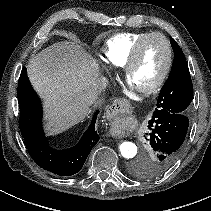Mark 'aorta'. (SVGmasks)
<instances>
[{
	"label": "aorta",
	"instance_id": "1",
	"mask_svg": "<svg viewBox=\"0 0 211 211\" xmlns=\"http://www.w3.org/2000/svg\"><path fill=\"white\" fill-rule=\"evenodd\" d=\"M121 155L126 159L134 158L137 154V146L132 142H122L119 145Z\"/></svg>",
	"mask_w": 211,
	"mask_h": 211
}]
</instances>
